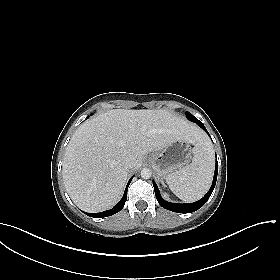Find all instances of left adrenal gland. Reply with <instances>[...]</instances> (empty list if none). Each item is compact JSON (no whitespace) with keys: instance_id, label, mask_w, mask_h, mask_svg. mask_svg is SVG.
<instances>
[{"instance_id":"a2214340","label":"left adrenal gland","mask_w":280,"mask_h":280,"mask_svg":"<svg viewBox=\"0 0 280 280\" xmlns=\"http://www.w3.org/2000/svg\"><path fill=\"white\" fill-rule=\"evenodd\" d=\"M161 183H162V185H163V186H165V183H164V181H163V180H161Z\"/></svg>"}]
</instances>
